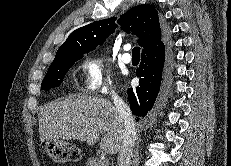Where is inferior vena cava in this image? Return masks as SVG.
Here are the masks:
<instances>
[{
  "instance_id": "1",
  "label": "inferior vena cava",
  "mask_w": 231,
  "mask_h": 166,
  "mask_svg": "<svg viewBox=\"0 0 231 166\" xmlns=\"http://www.w3.org/2000/svg\"><path fill=\"white\" fill-rule=\"evenodd\" d=\"M116 110L124 123L123 141L118 153L117 166H130L136 140V124L130 107L117 95L112 97Z\"/></svg>"
}]
</instances>
